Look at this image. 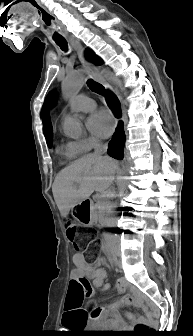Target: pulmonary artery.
<instances>
[{
    "instance_id": "1",
    "label": "pulmonary artery",
    "mask_w": 193,
    "mask_h": 336,
    "mask_svg": "<svg viewBox=\"0 0 193 336\" xmlns=\"http://www.w3.org/2000/svg\"><path fill=\"white\" fill-rule=\"evenodd\" d=\"M72 113L90 112L95 108V102L84 94L76 96L69 105Z\"/></svg>"
}]
</instances>
